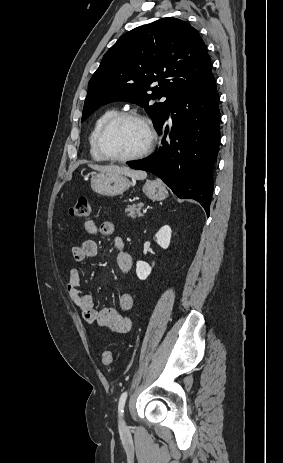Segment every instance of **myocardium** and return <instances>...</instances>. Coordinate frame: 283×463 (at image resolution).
Returning <instances> with one entry per match:
<instances>
[{"instance_id":"1","label":"myocardium","mask_w":283,"mask_h":463,"mask_svg":"<svg viewBox=\"0 0 283 463\" xmlns=\"http://www.w3.org/2000/svg\"><path fill=\"white\" fill-rule=\"evenodd\" d=\"M126 119H134L139 121L145 128L147 135H148V140L146 143V146L138 153L132 155V156H127V157H120V156H115L110 154L106 147H105V136L107 132L117 123L126 120ZM157 135L155 132V129L152 125V122L148 117L145 115L137 112V111H123V112H118L117 114L113 115L110 117L100 128L97 134V148L101 155L105 158V160H109L112 162H119V163H128V162H133L137 161L140 159H143L147 157L152 150L154 149L155 143H156Z\"/></svg>"}]
</instances>
